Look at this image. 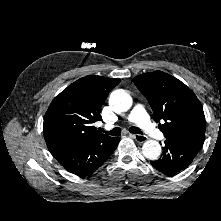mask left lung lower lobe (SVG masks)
I'll return each mask as SVG.
<instances>
[{"mask_svg":"<svg viewBox=\"0 0 221 221\" xmlns=\"http://www.w3.org/2000/svg\"><path fill=\"white\" fill-rule=\"evenodd\" d=\"M205 136L166 139L162 157L151 164L166 175L185 170L203 146Z\"/></svg>","mask_w":221,"mask_h":221,"instance_id":"1","label":"left lung lower lobe"}]
</instances>
